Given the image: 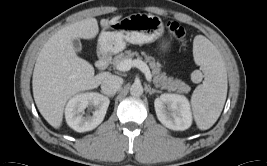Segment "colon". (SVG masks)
Returning <instances> with one entry per match:
<instances>
[{
    "instance_id": "colon-1",
    "label": "colon",
    "mask_w": 267,
    "mask_h": 166,
    "mask_svg": "<svg viewBox=\"0 0 267 166\" xmlns=\"http://www.w3.org/2000/svg\"><path fill=\"white\" fill-rule=\"evenodd\" d=\"M167 30L180 43L181 49L185 51L187 49V40L184 27L177 22L169 21Z\"/></svg>"
}]
</instances>
